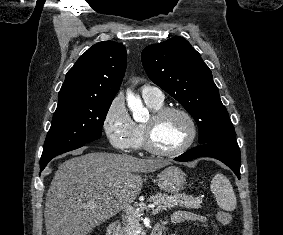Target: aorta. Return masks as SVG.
Listing matches in <instances>:
<instances>
[{"label":"aorta","instance_id":"1","mask_svg":"<svg viewBox=\"0 0 283 235\" xmlns=\"http://www.w3.org/2000/svg\"><path fill=\"white\" fill-rule=\"evenodd\" d=\"M127 103L132 112L134 120L142 121L148 117V111L143 106L140 98L135 96L130 91L127 92Z\"/></svg>","mask_w":283,"mask_h":235}]
</instances>
